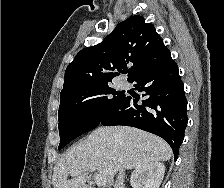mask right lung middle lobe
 <instances>
[{"mask_svg": "<svg viewBox=\"0 0 224 188\" xmlns=\"http://www.w3.org/2000/svg\"><path fill=\"white\" fill-rule=\"evenodd\" d=\"M125 95L109 84L60 93L59 150L83 133L96 128Z\"/></svg>", "mask_w": 224, "mask_h": 188, "instance_id": "obj_1", "label": "right lung middle lobe"}]
</instances>
